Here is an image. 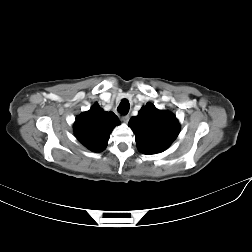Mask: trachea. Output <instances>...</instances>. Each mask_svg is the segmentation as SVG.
<instances>
[{"instance_id":"obj_1","label":"trachea","mask_w":252,"mask_h":252,"mask_svg":"<svg viewBox=\"0 0 252 252\" xmlns=\"http://www.w3.org/2000/svg\"><path fill=\"white\" fill-rule=\"evenodd\" d=\"M129 107H130L129 101H128L127 99H123V100L120 102V104H119L117 110H118L121 114L126 115V114L128 113V111H129Z\"/></svg>"}]
</instances>
